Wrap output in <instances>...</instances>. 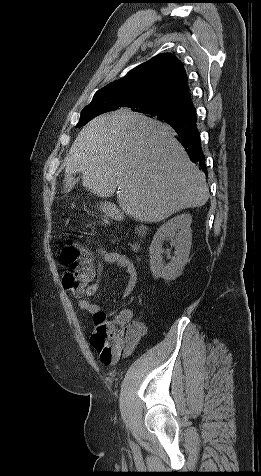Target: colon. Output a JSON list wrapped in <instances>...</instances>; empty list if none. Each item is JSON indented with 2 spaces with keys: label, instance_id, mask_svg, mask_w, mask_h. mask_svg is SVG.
<instances>
[{
  "label": "colon",
  "instance_id": "colon-1",
  "mask_svg": "<svg viewBox=\"0 0 261 476\" xmlns=\"http://www.w3.org/2000/svg\"><path fill=\"white\" fill-rule=\"evenodd\" d=\"M81 251L69 239L61 253V262L65 269L62 274V283L65 289L75 293L85 287L92 278V267L80 263ZM123 338L120 329L111 327L103 313L95 316V328L91 336L93 347L101 355L108 356Z\"/></svg>",
  "mask_w": 261,
  "mask_h": 476
}]
</instances>
